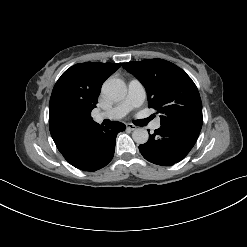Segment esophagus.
<instances>
[{"mask_svg":"<svg viewBox=\"0 0 247 247\" xmlns=\"http://www.w3.org/2000/svg\"><path fill=\"white\" fill-rule=\"evenodd\" d=\"M126 127L130 130H135L137 128V126H135L134 124H131V123H127L126 124Z\"/></svg>","mask_w":247,"mask_h":247,"instance_id":"esophagus-1","label":"esophagus"}]
</instances>
